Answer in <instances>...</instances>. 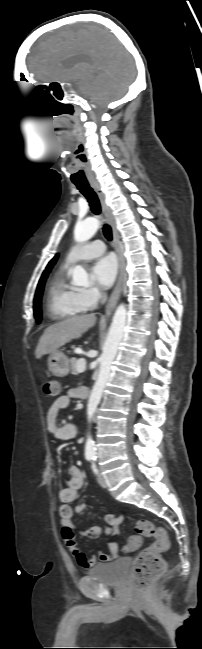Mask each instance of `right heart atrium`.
<instances>
[{
  "label": "right heart atrium",
  "mask_w": 202,
  "mask_h": 649,
  "mask_svg": "<svg viewBox=\"0 0 202 649\" xmlns=\"http://www.w3.org/2000/svg\"><path fill=\"white\" fill-rule=\"evenodd\" d=\"M102 297V292L96 288H88L80 291V299L86 308H93Z\"/></svg>",
  "instance_id": "1"
}]
</instances>
